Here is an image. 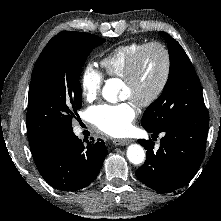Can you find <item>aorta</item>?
I'll return each mask as SVG.
<instances>
[{
	"label": "aorta",
	"instance_id": "obj_1",
	"mask_svg": "<svg viewBox=\"0 0 221 221\" xmlns=\"http://www.w3.org/2000/svg\"><path fill=\"white\" fill-rule=\"evenodd\" d=\"M116 95L117 90L114 87L113 81H108L103 88V97L110 102H114L116 100ZM127 158L134 165L143 163L145 160L144 149L138 144H131L127 148Z\"/></svg>",
	"mask_w": 221,
	"mask_h": 221
}]
</instances>
